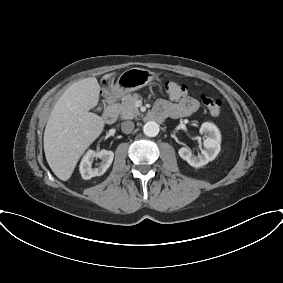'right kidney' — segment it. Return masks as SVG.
<instances>
[{"mask_svg":"<svg viewBox=\"0 0 283 283\" xmlns=\"http://www.w3.org/2000/svg\"><path fill=\"white\" fill-rule=\"evenodd\" d=\"M113 157L114 153L108 150H101L99 152L93 150L87 151L82 158L79 168L82 178L88 180L92 177L103 175L111 165ZM95 158H100L102 161L98 167L92 168V163Z\"/></svg>","mask_w":283,"mask_h":283,"instance_id":"obj_1","label":"right kidney"}]
</instances>
